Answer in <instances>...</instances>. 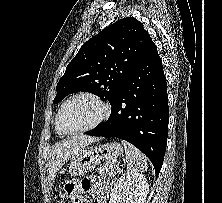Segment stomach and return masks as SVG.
<instances>
[{
  "mask_svg": "<svg viewBox=\"0 0 222 203\" xmlns=\"http://www.w3.org/2000/svg\"><path fill=\"white\" fill-rule=\"evenodd\" d=\"M121 154H123V147L119 142L86 146L72 156L69 172L72 176H82L93 169L100 161L115 160Z\"/></svg>",
  "mask_w": 222,
  "mask_h": 203,
  "instance_id": "1",
  "label": "stomach"
}]
</instances>
